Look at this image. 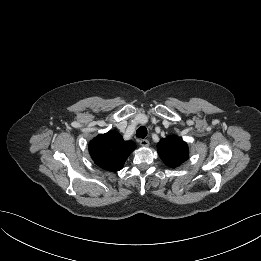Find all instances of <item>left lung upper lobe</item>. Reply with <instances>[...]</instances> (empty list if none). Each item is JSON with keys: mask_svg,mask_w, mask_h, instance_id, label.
<instances>
[{"mask_svg": "<svg viewBox=\"0 0 261 261\" xmlns=\"http://www.w3.org/2000/svg\"><path fill=\"white\" fill-rule=\"evenodd\" d=\"M158 154L163 162L176 168L188 159V145L177 136H168L158 143Z\"/></svg>", "mask_w": 261, "mask_h": 261, "instance_id": "5c2ea615", "label": "left lung upper lobe"}]
</instances>
